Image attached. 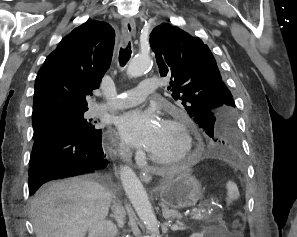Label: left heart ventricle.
I'll use <instances>...</instances> for the list:
<instances>
[{
  "label": "left heart ventricle",
  "mask_w": 297,
  "mask_h": 237,
  "mask_svg": "<svg viewBox=\"0 0 297 237\" xmlns=\"http://www.w3.org/2000/svg\"><path fill=\"white\" fill-rule=\"evenodd\" d=\"M183 141L180 133L173 127L162 123L155 143L149 152L160 158H170L180 153Z\"/></svg>",
  "instance_id": "b2bd125f"
}]
</instances>
